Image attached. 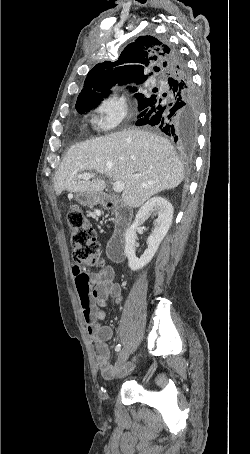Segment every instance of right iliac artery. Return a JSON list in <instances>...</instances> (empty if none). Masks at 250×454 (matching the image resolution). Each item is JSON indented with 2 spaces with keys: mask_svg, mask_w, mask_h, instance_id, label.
<instances>
[{
  "mask_svg": "<svg viewBox=\"0 0 250 454\" xmlns=\"http://www.w3.org/2000/svg\"><path fill=\"white\" fill-rule=\"evenodd\" d=\"M120 349H121V345L118 344V345L115 347V351L118 352V351H120Z\"/></svg>",
  "mask_w": 250,
  "mask_h": 454,
  "instance_id": "right-iliac-artery-1",
  "label": "right iliac artery"
}]
</instances>
